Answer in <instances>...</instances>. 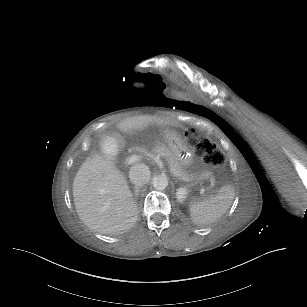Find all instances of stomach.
<instances>
[{
  "label": "stomach",
  "mask_w": 307,
  "mask_h": 307,
  "mask_svg": "<svg viewBox=\"0 0 307 307\" xmlns=\"http://www.w3.org/2000/svg\"><path fill=\"white\" fill-rule=\"evenodd\" d=\"M165 135L174 157L179 162L180 166L186 174L187 178L183 180L190 181L195 179L197 175L193 167V147L189 145L186 137L179 134L178 132L166 130Z\"/></svg>",
  "instance_id": "obj_1"
}]
</instances>
